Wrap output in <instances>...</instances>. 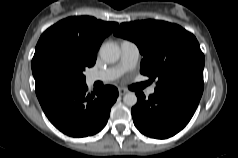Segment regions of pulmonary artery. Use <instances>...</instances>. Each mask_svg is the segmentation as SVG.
Masks as SVG:
<instances>
[{"instance_id": "e3ab8cb5", "label": "pulmonary artery", "mask_w": 238, "mask_h": 158, "mask_svg": "<svg viewBox=\"0 0 238 158\" xmlns=\"http://www.w3.org/2000/svg\"><path fill=\"white\" fill-rule=\"evenodd\" d=\"M121 58L118 65L93 72L88 75L87 82L92 84L97 81L110 82L119 78L125 71L135 67L139 58V49L137 45L131 41L124 40L120 43ZM155 92V86H150L146 93L152 95Z\"/></svg>"}]
</instances>
